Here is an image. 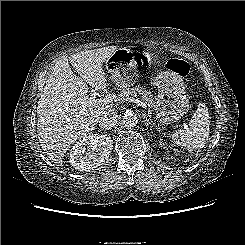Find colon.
Returning a JSON list of instances; mask_svg holds the SVG:
<instances>
[{
    "mask_svg": "<svg viewBox=\"0 0 245 245\" xmlns=\"http://www.w3.org/2000/svg\"><path fill=\"white\" fill-rule=\"evenodd\" d=\"M166 67L181 77L187 76L190 72L189 64L177 58L168 59L166 61Z\"/></svg>",
    "mask_w": 245,
    "mask_h": 245,
    "instance_id": "colon-1",
    "label": "colon"
}]
</instances>
